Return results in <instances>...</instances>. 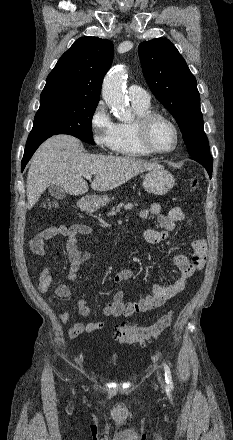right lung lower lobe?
<instances>
[{
	"mask_svg": "<svg viewBox=\"0 0 233 440\" xmlns=\"http://www.w3.org/2000/svg\"><path fill=\"white\" fill-rule=\"evenodd\" d=\"M51 136H31L29 135L26 143V148L24 152V156L22 159V168L21 170L25 168V165L33 155V153L36 151V149L39 147L41 143H43L47 138Z\"/></svg>",
	"mask_w": 233,
	"mask_h": 440,
	"instance_id": "obj_1",
	"label": "right lung lower lobe"
}]
</instances>
